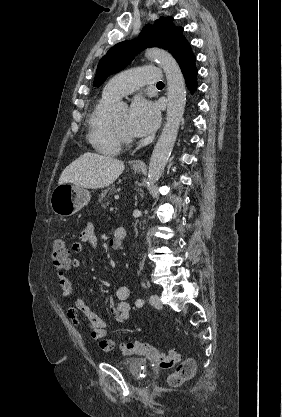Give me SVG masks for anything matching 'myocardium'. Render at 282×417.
Returning a JSON list of instances; mask_svg holds the SVG:
<instances>
[{"mask_svg":"<svg viewBox=\"0 0 282 417\" xmlns=\"http://www.w3.org/2000/svg\"><path fill=\"white\" fill-rule=\"evenodd\" d=\"M110 124L115 136L117 137L120 143L129 144L133 141V137L130 134L125 133L121 128L117 126L113 114L110 118Z\"/></svg>","mask_w":282,"mask_h":417,"instance_id":"f54148a6","label":"myocardium"}]
</instances>
